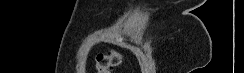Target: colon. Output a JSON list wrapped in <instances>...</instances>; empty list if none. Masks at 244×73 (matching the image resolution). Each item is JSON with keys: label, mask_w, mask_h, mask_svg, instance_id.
Listing matches in <instances>:
<instances>
[{"label": "colon", "mask_w": 244, "mask_h": 73, "mask_svg": "<svg viewBox=\"0 0 244 73\" xmlns=\"http://www.w3.org/2000/svg\"><path fill=\"white\" fill-rule=\"evenodd\" d=\"M123 63V56L116 50H109L106 53H100L96 57V66L98 73H112L113 70Z\"/></svg>", "instance_id": "1"}]
</instances>
